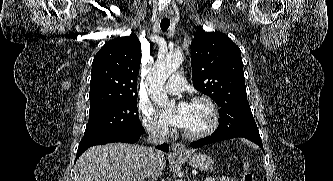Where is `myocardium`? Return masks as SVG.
Segmentation results:
<instances>
[{
    "instance_id": "f54148a6",
    "label": "myocardium",
    "mask_w": 333,
    "mask_h": 181,
    "mask_svg": "<svg viewBox=\"0 0 333 181\" xmlns=\"http://www.w3.org/2000/svg\"><path fill=\"white\" fill-rule=\"evenodd\" d=\"M204 104L209 111V122L201 130L195 132H189L184 130L183 134L185 137L190 139H199L208 136L211 134L218 126L219 123V111L216 103L207 96H196L191 99L190 104Z\"/></svg>"
}]
</instances>
